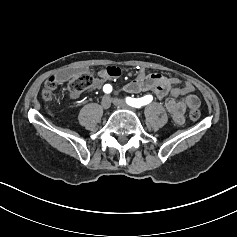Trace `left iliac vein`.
Here are the masks:
<instances>
[{"mask_svg": "<svg viewBox=\"0 0 237 237\" xmlns=\"http://www.w3.org/2000/svg\"><path fill=\"white\" fill-rule=\"evenodd\" d=\"M112 103L118 107V108H123V109H132L127 103H125L123 100L121 99H116L113 98L111 99Z\"/></svg>", "mask_w": 237, "mask_h": 237, "instance_id": "left-iliac-vein-1", "label": "left iliac vein"}]
</instances>
